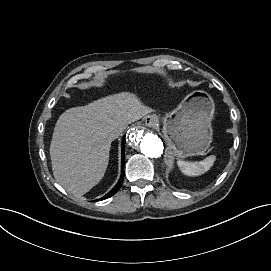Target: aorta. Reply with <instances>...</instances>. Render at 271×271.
<instances>
[{
    "instance_id": "762f6f07",
    "label": "aorta",
    "mask_w": 271,
    "mask_h": 271,
    "mask_svg": "<svg viewBox=\"0 0 271 271\" xmlns=\"http://www.w3.org/2000/svg\"><path fill=\"white\" fill-rule=\"evenodd\" d=\"M129 147L149 158H159L164 151L162 140L141 126L131 128L127 134Z\"/></svg>"
}]
</instances>
